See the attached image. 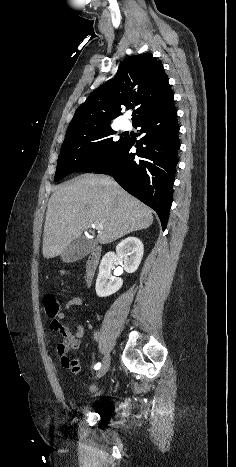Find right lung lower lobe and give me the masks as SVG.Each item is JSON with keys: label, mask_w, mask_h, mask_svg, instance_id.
Segmentation results:
<instances>
[{"label": "right lung lower lobe", "mask_w": 236, "mask_h": 467, "mask_svg": "<svg viewBox=\"0 0 236 467\" xmlns=\"http://www.w3.org/2000/svg\"><path fill=\"white\" fill-rule=\"evenodd\" d=\"M133 125L141 127V133L145 134L135 145L136 154L130 152L134 143L128 137L110 160L92 172L112 175L127 192L157 212L165 230L173 201L172 184L180 145L173 98Z\"/></svg>", "instance_id": "right-lung-lower-lobe-1"}]
</instances>
